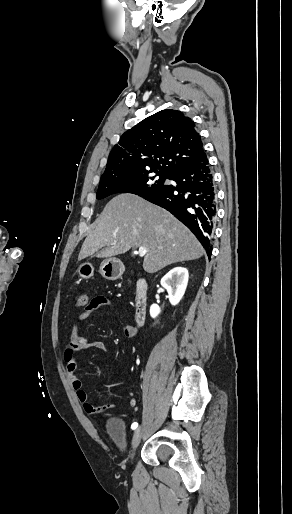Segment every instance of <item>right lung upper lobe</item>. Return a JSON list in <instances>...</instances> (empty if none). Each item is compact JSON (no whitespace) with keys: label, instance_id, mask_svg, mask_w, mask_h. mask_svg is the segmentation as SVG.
<instances>
[{"label":"right lung upper lobe","instance_id":"1","mask_svg":"<svg viewBox=\"0 0 292 514\" xmlns=\"http://www.w3.org/2000/svg\"><path fill=\"white\" fill-rule=\"evenodd\" d=\"M205 155L194 122L178 110H162L121 136L101 180L152 171L171 175Z\"/></svg>","mask_w":292,"mask_h":514}]
</instances>
